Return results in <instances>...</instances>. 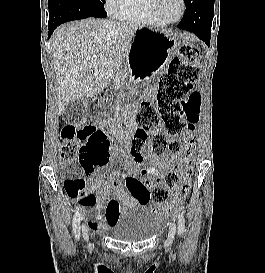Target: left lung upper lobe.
<instances>
[{
  "instance_id": "1",
  "label": "left lung upper lobe",
  "mask_w": 265,
  "mask_h": 273,
  "mask_svg": "<svg viewBox=\"0 0 265 273\" xmlns=\"http://www.w3.org/2000/svg\"><path fill=\"white\" fill-rule=\"evenodd\" d=\"M192 0H184L186 7H188L191 4ZM214 14V6L209 8L205 13V23L207 26L211 27L212 19Z\"/></svg>"
}]
</instances>
